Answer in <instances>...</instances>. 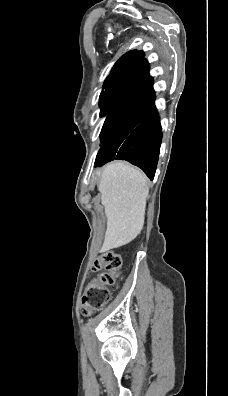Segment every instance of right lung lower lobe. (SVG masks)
<instances>
[{
    "label": "right lung lower lobe",
    "mask_w": 228,
    "mask_h": 396,
    "mask_svg": "<svg viewBox=\"0 0 228 396\" xmlns=\"http://www.w3.org/2000/svg\"><path fill=\"white\" fill-rule=\"evenodd\" d=\"M130 106L117 120L105 138L95 161L100 167L112 160H126L141 168L153 180L162 130L154 106L153 80L148 74Z\"/></svg>",
    "instance_id": "obj_1"
}]
</instances>
